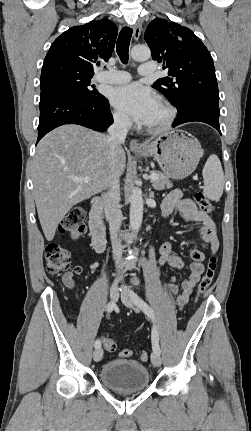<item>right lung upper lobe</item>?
I'll list each match as a JSON object with an SVG mask.
<instances>
[{"instance_id": "cb5924a9", "label": "right lung upper lobe", "mask_w": 251, "mask_h": 431, "mask_svg": "<svg viewBox=\"0 0 251 431\" xmlns=\"http://www.w3.org/2000/svg\"><path fill=\"white\" fill-rule=\"evenodd\" d=\"M117 27L108 19L74 26L61 34L50 46L43 67L57 62L73 64L94 73L93 66L108 61L114 50Z\"/></svg>"}]
</instances>
